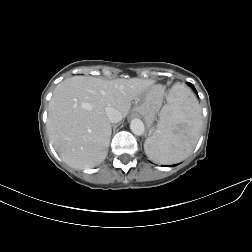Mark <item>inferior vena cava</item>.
Segmentation results:
<instances>
[{
	"label": "inferior vena cava",
	"instance_id": "inferior-vena-cava-1",
	"mask_svg": "<svg viewBox=\"0 0 252 252\" xmlns=\"http://www.w3.org/2000/svg\"><path fill=\"white\" fill-rule=\"evenodd\" d=\"M105 113L111 123H117L123 118L118 110L110 106L105 107Z\"/></svg>",
	"mask_w": 252,
	"mask_h": 252
}]
</instances>
